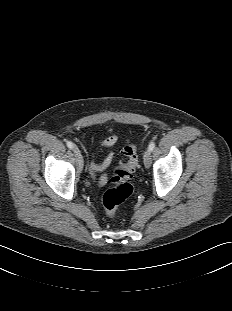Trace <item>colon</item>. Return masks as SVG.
Returning <instances> with one entry per match:
<instances>
[{"label": "colon", "instance_id": "1", "mask_svg": "<svg viewBox=\"0 0 232 311\" xmlns=\"http://www.w3.org/2000/svg\"><path fill=\"white\" fill-rule=\"evenodd\" d=\"M123 151L128 160L115 168L111 179L113 187L107 190L102 197L104 211L109 217H113L119 205L132 195V179L139 165L137 148L134 144H128Z\"/></svg>", "mask_w": 232, "mask_h": 311}]
</instances>
